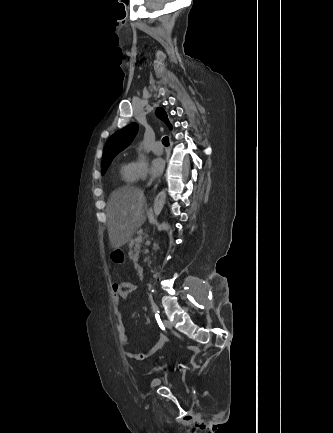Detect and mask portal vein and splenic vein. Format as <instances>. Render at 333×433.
<instances>
[{"mask_svg":"<svg viewBox=\"0 0 333 433\" xmlns=\"http://www.w3.org/2000/svg\"><path fill=\"white\" fill-rule=\"evenodd\" d=\"M136 241H137V242H142V236H138V237L136 238Z\"/></svg>","mask_w":333,"mask_h":433,"instance_id":"18ae733b","label":"portal vein and splenic vein"}]
</instances>
